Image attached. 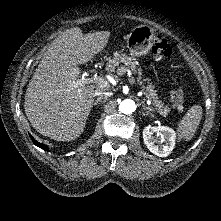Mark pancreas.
<instances>
[{
	"mask_svg": "<svg viewBox=\"0 0 221 221\" xmlns=\"http://www.w3.org/2000/svg\"><path fill=\"white\" fill-rule=\"evenodd\" d=\"M120 63H124L125 66L122 67H118L116 69L117 66H119ZM138 62L136 61L135 58L129 57L126 54H122V53H114L113 59L108 58V62L106 65V70L114 77H117L116 75H114L113 73H116L117 75H120V69L124 68L126 69L127 67H130L132 72L134 74H138L137 77V82L142 85V90L144 92V95L148 98L152 100L153 105L156 107V110L159 114H161L162 116L166 117L168 115V112L170 111V108L165 105L161 100H159V97L156 93V90L154 89V86L149 83L148 79H144L143 81L141 80V69L137 68L138 66ZM133 79V78H132ZM134 81V79H133ZM144 81H147V86H144Z\"/></svg>",
	"mask_w": 221,
	"mask_h": 221,
	"instance_id": "cf45deb5",
	"label": "pancreas"
}]
</instances>
